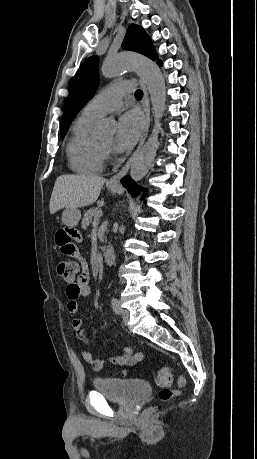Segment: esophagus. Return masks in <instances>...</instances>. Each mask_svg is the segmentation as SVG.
Here are the masks:
<instances>
[{
  "label": "esophagus",
  "instance_id": "obj_1",
  "mask_svg": "<svg viewBox=\"0 0 257 459\" xmlns=\"http://www.w3.org/2000/svg\"><path fill=\"white\" fill-rule=\"evenodd\" d=\"M139 83H140V86H141V88L143 90V94H144L143 101H142V106H143V110H144L145 118H146L145 119L144 130H143V133H142V136H141V139H140V142H139V145H138L136 151L128 159V161L121 168V170L119 172H117L115 175H113L109 179L108 184L112 185V186H120L121 179L128 173L129 168L131 166V163L134 160V158L136 157V155L138 154V152L140 151V149L142 148V146H143V144H144V142L146 140L148 131H149V127H150V105H149L148 90H147L146 85L144 84L143 81L139 80Z\"/></svg>",
  "mask_w": 257,
  "mask_h": 459
}]
</instances>
